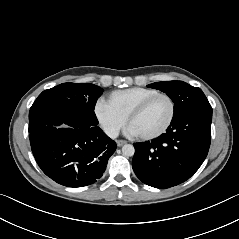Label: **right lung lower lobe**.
<instances>
[{
    "mask_svg": "<svg viewBox=\"0 0 239 239\" xmlns=\"http://www.w3.org/2000/svg\"><path fill=\"white\" fill-rule=\"evenodd\" d=\"M63 123L67 126L59 128ZM97 124L55 121L30 132L31 149L41 170L67 187L96 182L117 147Z\"/></svg>",
    "mask_w": 239,
    "mask_h": 239,
    "instance_id": "right-lung-lower-lobe-1",
    "label": "right lung lower lobe"
}]
</instances>
